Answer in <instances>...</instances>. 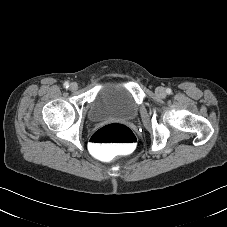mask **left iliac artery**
<instances>
[{
    "label": "left iliac artery",
    "instance_id": "left-iliac-artery-1",
    "mask_svg": "<svg viewBox=\"0 0 227 227\" xmlns=\"http://www.w3.org/2000/svg\"><path fill=\"white\" fill-rule=\"evenodd\" d=\"M166 92H167L168 94H171V93H172V90H171L170 88H167V89H166Z\"/></svg>",
    "mask_w": 227,
    "mask_h": 227
}]
</instances>
